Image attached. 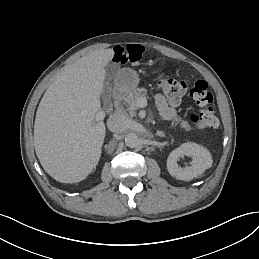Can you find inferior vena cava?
<instances>
[{
    "label": "inferior vena cava",
    "mask_w": 259,
    "mask_h": 259,
    "mask_svg": "<svg viewBox=\"0 0 259 259\" xmlns=\"http://www.w3.org/2000/svg\"><path fill=\"white\" fill-rule=\"evenodd\" d=\"M126 124H127V117L118 113H114L110 115L107 120L108 129L115 133H120L123 130H125Z\"/></svg>",
    "instance_id": "obj_1"
}]
</instances>
